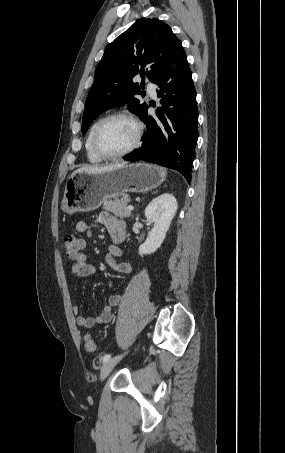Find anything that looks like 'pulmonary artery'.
<instances>
[{"mask_svg":"<svg viewBox=\"0 0 285 453\" xmlns=\"http://www.w3.org/2000/svg\"><path fill=\"white\" fill-rule=\"evenodd\" d=\"M147 91L151 97H156L157 91H156V85L154 83H152V82L148 83Z\"/></svg>","mask_w":285,"mask_h":453,"instance_id":"e3ab8cb5","label":"pulmonary artery"}]
</instances>
